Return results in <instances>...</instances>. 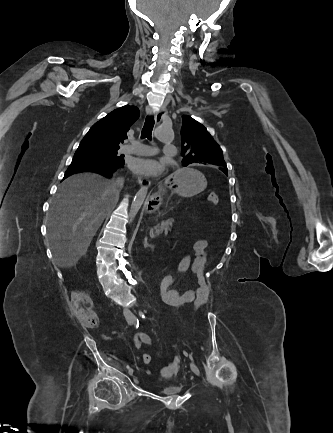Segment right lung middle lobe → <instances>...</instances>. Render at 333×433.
I'll return each instance as SVG.
<instances>
[{
    "mask_svg": "<svg viewBox=\"0 0 333 433\" xmlns=\"http://www.w3.org/2000/svg\"><path fill=\"white\" fill-rule=\"evenodd\" d=\"M75 158H92L104 161H118L120 157L117 156V150L103 149L89 144L85 141H81L75 155Z\"/></svg>",
    "mask_w": 333,
    "mask_h": 433,
    "instance_id": "dd1d6c3e",
    "label": "right lung middle lobe"
}]
</instances>
